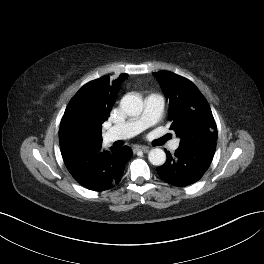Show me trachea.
<instances>
[{"label": "trachea", "mask_w": 264, "mask_h": 264, "mask_svg": "<svg viewBox=\"0 0 264 264\" xmlns=\"http://www.w3.org/2000/svg\"><path fill=\"white\" fill-rule=\"evenodd\" d=\"M168 139H170V136H165V140H168Z\"/></svg>", "instance_id": "3493384b"}]
</instances>
